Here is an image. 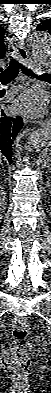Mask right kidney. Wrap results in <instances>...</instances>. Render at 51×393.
Wrapping results in <instances>:
<instances>
[{"mask_svg":"<svg viewBox=\"0 0 51 393\" xmlns=\"http://www.w3.org/2000/svg\"><path fill=\"white\" fill-rule=\"evenodd\" d=\"M3 194H4V191L2 190V191H1V198H0V204H1V205L4 204V200H5Z\"/></svg>","mask_w":51,"mask_h":393,"instance_id":"ca27d5eb","label":"right kidney"}]
</instances>
